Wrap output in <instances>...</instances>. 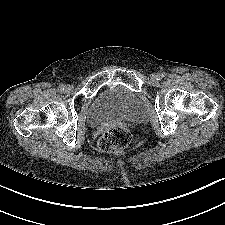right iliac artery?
Segmentation results:
<instances>
[{
	"label": "right iliac artery",
	"instance_id": "right-iliac-artery-1",
	"mask_svg": "<svg viewBox=\"0 0 225 225\" xmlns=\"http://www.w3.org/2000/svg\"><path fill=\"white\" fill-rule=\"evenodd\" d=\"M59 91H64L65 89V85L64 84H60L59 87H58Z\"/></svg>",
	"mask_w": 225,
	"mask_h": 225
}]
</instances>
